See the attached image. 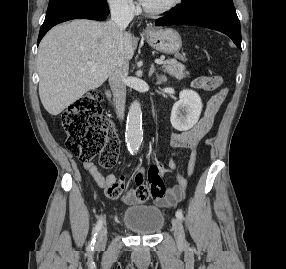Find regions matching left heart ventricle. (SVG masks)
I'll use <instances>...</instances> for the list:
<instances>
[{"label": "left heart ventricle", "instance_id": "b2bd125f", "mask_svg": "<svg viewBox=\"0 0 286 269\" xmlns=\"http://www.w3.org/2000/svg\"><path fill=\"white\" fill-rule=\"evenodd\" d=\"M169 1H171V0H146L143 3V5L148 7V8H151V9H156V8L164 6Z\"/></svg>", "mask_w": 286, "mask_h": 269}]
</instances>
